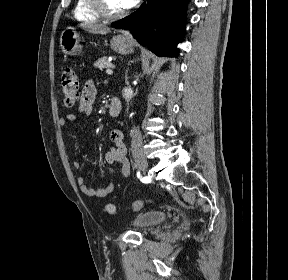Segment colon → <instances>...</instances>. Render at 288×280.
<instances>
[{
	"label": "colon",
	"mask_w": 288,
	"mask_h": 280,
	"mask_svg": "<svg viewBox=\"0 0 288 280\" xmlns=\"http://www.w3.org/2000/svg\"><path fill=\"white\" fill-rule=\"evenodd\" d=\"M62 89L64 95V103L68 107H72L78 101L79 94V78L76 71L73 68H67L62 74ZM149 200L136 201L132 205L134 211L142 209L144 206L149 204ZM106 212L109 215L116 214V207L113 204L106 205Z\"/></svg>",
	"instance_id": "obj_1"
}]
</instances>
